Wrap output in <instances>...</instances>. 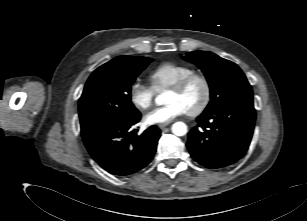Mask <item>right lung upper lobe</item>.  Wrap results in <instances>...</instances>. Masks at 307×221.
<instances>
[{
    "label": "right lung upper lobe",
    "instance_id": "obj_1",
    "mask_svg": "<svg viewBox=\"0 0 307 221\" xmlns=\"http://www.w3.org/2000/svg\"><path fill=\"white\" fill-rule=\"evenodd\" d=\"M136 57H137V56H133V57L119 56V57L114 58V59L111 60L110 62L113 63V62H116V61H119V60H130V59H133V58H136Z\"/></svg>",
    "mask_w": 307,
    "mask_h": 221
}]
</instances>
